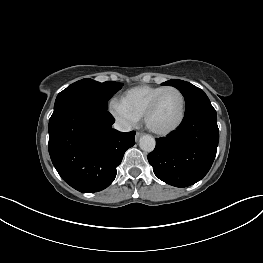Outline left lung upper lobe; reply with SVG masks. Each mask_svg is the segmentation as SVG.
<instances>
[{
    "instance_id": "5c2ea615",
    "label": "left lung upper lobe",
    "mask_w": 263,
    "mask_h": 263,
    "mask_svg": "<svg viewBox=\"0 0 263 263\" xmlns=\"http://www.w3.org/2000/svg\"><path fill=\"white\" fill-rule=\"evenodd\" d=\"M162 85H171L176 87L184 96L186 102L185 113L206 104H211L207 95L198 87L189 82L172 79L162 83Z\"/></svg>"
}]
</instances>
